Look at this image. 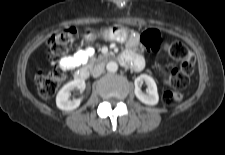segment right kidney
<instances>
[{
  "label": "right kidney",
  "instance_id": "obj_1",
  "mask_svg": "<svg viewBox=\"0 0 225 155\" xmlns=\"http://www.w3.org/2000/svg\"><path fill=\"white\" fill-rule=\"evenodd\" d=\"M75 88L83 91L85 89V81L81 79H75L65 84L56 96V105L61 110H74L79 107L81 99L69 100L70 93Z\"/></svg>",
  "mask_w": 225,
  "mask_h": 155
}]
</instances>
